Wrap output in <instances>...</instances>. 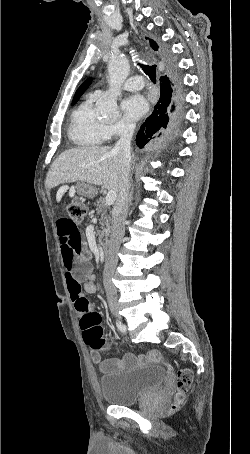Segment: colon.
I'll return each instance as SVG.
<instances>
[{
    "label": "colon",
    "mask_w": 250,
    "mask_h": 454,
    "mask_svg": "<svg viewBox=\"0 0 250 454\" xmlns=\"http://www.w3.org/2000/svg\"><path fill=\"white\" fill-rule=\"evenodd\" d=\"M68 219L75 225H79L88 213V205L80 200L73 199L67 205ZM80 327L84 341L94 351H103L107 349V343L104 338V330L101 326V316L94 310H87L80 317ZM193 374L188 369H182L177 373V395L171 410H175L183 401L185 393L191 387Z\"/></svg>",
    "instance_id": "obj_1"
}]
</instances>
